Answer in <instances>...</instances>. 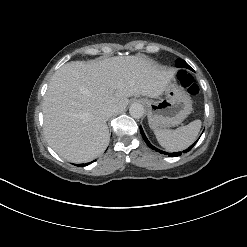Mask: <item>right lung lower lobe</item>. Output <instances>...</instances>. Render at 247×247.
<instances>
[{
    "mask_svg": "<svg viewBox=\"0 0 247 247\" xmlns=\"http://www.w3.org/2000/svg\"><path fill=\"white\" fill-rule=\"evenodd\" d=\"M88 164H89V163H86V164H77V166H79V167L81 166V167H82V166H86V165H88Z\"/></svg>",
    "mask_w": 247,
    "mask_h": 247,
    "instance_id": "right-lung-lower-lobe-1",
    "label": "right lung lower lobe"
}]
</instances>
